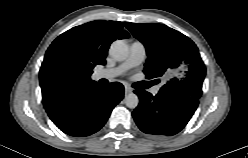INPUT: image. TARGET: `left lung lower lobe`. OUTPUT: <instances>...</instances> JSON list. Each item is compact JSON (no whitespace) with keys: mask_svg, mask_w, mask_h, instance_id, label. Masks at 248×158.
<instances>
[{"mask_svg":"<svg viewBox=\"0 0 248 158\" xmlns=\"http://www.w3.org/2000/svg\"><path fill=\"white\" fill-rule=\"evenodd\" d=\"M140 99L132 115L138 127L147 134L171 136L180 132L191 119L198 99L184 95L152 96L146 91H134Z\"/></svg>","mask_w":248,"mask_h":158,"instance_id":"left-lung-lower-lobe-1","label":"left lung lower lobe"}]
</instances>
